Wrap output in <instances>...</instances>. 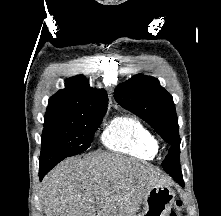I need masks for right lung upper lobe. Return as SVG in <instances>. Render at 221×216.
<instances>
[{"instance_id": "right-lung-upper-lobe-1", "label": "right lung upper lobe", "mask_w": 221, "mask_h": 216, "mask_svg": "<svg viewBox=\"0 0 221 216\" xmlns=\"http://www.w3.org/2000/svg\"><path fill=\"white\" fill-rule=\"evenodd\" d=\"M107 93L93 89L83 75L66 80V88L53 95L48 103L44 125L73 121L80 116L106 112Z\"/></svg>"}]
</instances>
